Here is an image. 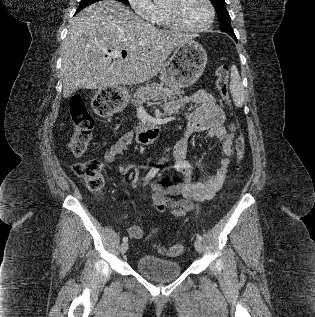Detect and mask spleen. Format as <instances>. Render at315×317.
<instances>
[{
  "label": "spleen",
  "mask_w": 315,
  "mask_h": 317,
  "mask_svg": "<svg viewBox=\"0 0 315 317\" xmlns=\"http://www.w3.org/2000/svg\"><path fill=\"white\" fill-rule=\"evenodd\" d=\"M231 81H230V91L233 97L234 104L237 107H242L245 100V91L244 87L235 65L231 67Z\"/></svg>",
  "instance_id": "obj_1"
}]
</instances>
